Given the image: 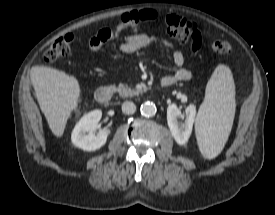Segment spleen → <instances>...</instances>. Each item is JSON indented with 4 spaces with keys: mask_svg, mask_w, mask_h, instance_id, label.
<instances>
[{
    "mask_svg": "<svg viewBox=\"0 0 275 215\" xmlns=\"http://www.w3.org/2000/svg\"><path fill=\"white\" fill-rule=\"evenodd\" d=\"M235 84L227 65H218L209 79L199 108L195 130L201 154L218 156L230 134L235 115Z\"/></svg>",
    "mask_w": 275,
    "mask_h": 215,
    "instance_id": "spleen-1",
    "label": "spleen"
}]
</instances>
